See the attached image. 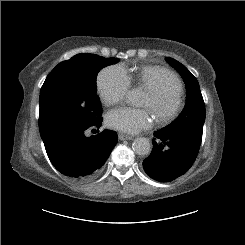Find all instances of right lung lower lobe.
Returning a JSON list of instances; mask_svg holds the SVG:
<instances>
[{
	"mask_svg": "<svg viewBox=\"0 0 245 245\" xmlns=\"http://www.w3.org/2000/svg\"><path fill=\"white\" fill-rule=\"evenodd\" d=\"M99 119L88 127L62 129L43 140L48 157L53 166L62 174L76 179L94 178L117 144L115 132H103L86 137L89 127H99Z\"/></svg>",
	"mask_w": 245,
	"mask_h": 245,
	"instance_id": "1",
	"label": "right lung lower lobe"
}]
</instances>
